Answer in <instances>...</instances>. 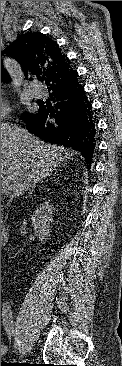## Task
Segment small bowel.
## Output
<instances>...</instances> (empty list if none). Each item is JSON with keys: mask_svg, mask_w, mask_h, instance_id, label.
I'll list each match as a JSON object with an SVG mask.
<instances>
[{"mask_svg": "<svg viewBox=\"0 0 122 366\" xmlns=\"http://www.w3.org/2000/svg\"><path fill=\"white\" fill-rule=\"evenodd\" d=\"M5 353H6V347L1 346V356L4 355Z\"/></svg>", "mask_w": 122, "mask_h": 366, "instance_id": "obj_1", "label": "small bowel"}]
</instances>
